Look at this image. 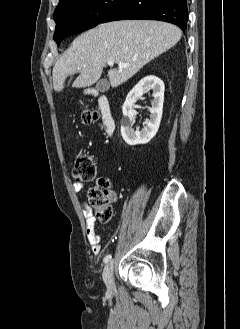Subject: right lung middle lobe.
<instances>
[{"instance_id":"right-lung-middle-lobe-1","label":"right lung middle lobe","mask_w":240,"mask_h":329,"mask_svg":"<svg viewBox=\"0 0 240 329\" xmlns=\"http://www.w3.org/2000/svg\"><path fill=\"white\" fill-rule=\"evenodd\" d=\"M125 0H71L55 10L57 45L65 37L95 27Z\"/></svg>"}]
</instances>
